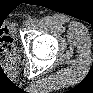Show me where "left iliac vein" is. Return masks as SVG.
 I'll return each mask as SVG.
<instances>
[{
  "label": "left iliac vein",
  "mask_w": 93,
  "mask_h": 93,
  "mask_svg": "<svg viewBox=\"0 0 93 93\" xmlns=\"http://www.w3.org/2000/svg\"><path fill=\"white\" fill-rule=\"evenodd\" d=\"M32 24H33L32 20H27V21L25 22V26H26V27H30V26H32Z\"/></svg>",
  "instance_id": "1"
}]
</instances>
